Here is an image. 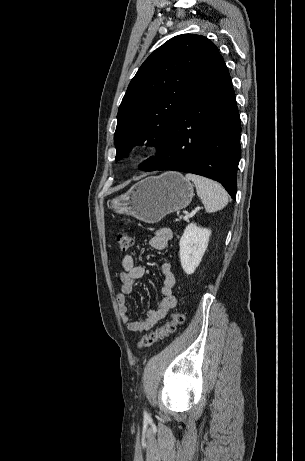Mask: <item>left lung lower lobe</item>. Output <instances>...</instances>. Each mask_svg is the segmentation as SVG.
<instances>
[{
	"instance_id": "0a47b994",
	"label": "left lung lower lobe",
	"mask_w": 305,
	"mask_h": 461,
	"mask_svg": "<svg viewBox=\"0 0 305 461\" xmlns=\"http://www.w3.org/2000/svg\"><path fill=\"white\" fill-rule=\"evenodd\" d=\"M240 116L220 55L170 123L163 150L148 171L175 170L220 182L235 199Z\"/></svg>"
}]
</instances>
